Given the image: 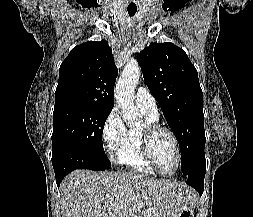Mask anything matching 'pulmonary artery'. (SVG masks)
Masks as SVG:
<instances>
[{
    "mask_svg": "<svg viewBox=\"0 0 253 217\" xmlns=\"http://www.w3.org/2000/svg\"><path fill=\"white\" fill-rule=\"evenodd\" d=\"M135 102L140 110L145 111L153 117H159L156 100L146 87H139L137 89L135 95Z\"/></svg>",
    "mask_w": 253,
    "mask_h": 217,
    "instance_id": "1",
    "label": "pulmonary artery"
}]
</instances>
